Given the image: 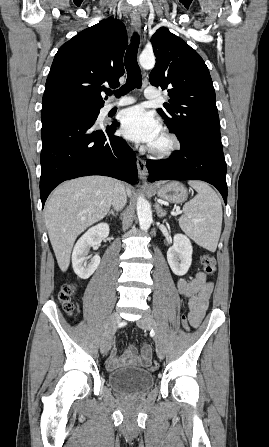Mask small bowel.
I'll return each instance as SVG.
<instances>
[{"mask_svg": "<svg viewBox=\"0 0 269 447\" xmlns=\"http://www.w3.org/2000/svg\"><path fill=\"white\" fill-rule=\"evenodd\" d=\"M176 288L181 295L189 298V319L191 325L194 327L199 326L209 307L214 283L207 279L204 272H198L190 281L185 279L177 280ZM147 361H152V356H142L141 350L138 356L135 347L129 345L125 353L120 357L116 355V349L112 348L107 360V367L109 369H116L128 362H134L136 365L146 368Z\"/></svg>", "mask_w": 269, "mask_h": 447, "instance_id": "obj_1", "label": "small bowel"}]
</instances>
